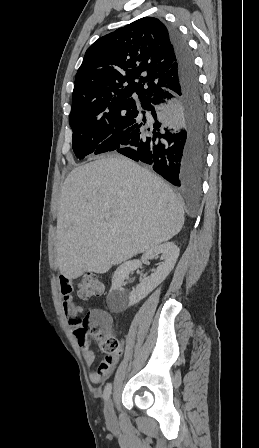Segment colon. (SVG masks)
<instances>
[{"label": "colon", "instance_id": "5ec220e1", "mask_svg": "<svg viewBox=\"0 0 259 448\" xmlns=\"http://www.w3.org/2000/svg\"><path fill=\"white\" fill-rule=\"evenodd\" d=\"M104 291L103 282L94 274L85 275L78 285V295L83 300L100 296ZM79 341L92 337L100 344L108 356H120L122 346L119 340L110 332V318L99 309H93L79 322L76 329Z\"/></svg>", "mask_w": 259, "mask_h": 448}]
</instances>
